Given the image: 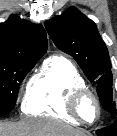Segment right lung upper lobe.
<instances>
[{"instance_id":"obj_1","label":"right lung upper lobe","mask_w":117,"mask_h":136,"mask_svg":"<svg viewBox=\"0 0 117 136\" xmlns=\"http://www.w3.org/2000/svg\"><path fill=\"white\" fill-rule=\"evenodd\" d=\"M47 48L46 32L41 25L15 15L0 23V59L36 60L43 56Z\"/></svg>"}]
</instances>
